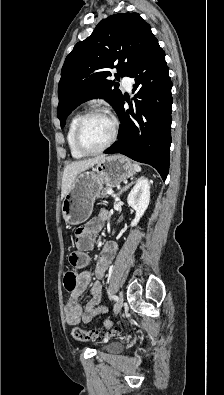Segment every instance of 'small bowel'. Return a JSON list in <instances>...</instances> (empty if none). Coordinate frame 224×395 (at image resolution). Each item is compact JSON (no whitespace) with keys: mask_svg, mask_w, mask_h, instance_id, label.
Instances as JSON below:
<instances>
[{"mask_svg":"<svg viewBox=\"0 0 224 395\" xmlns=\"http://www.w3.org/2000/svg\"><path fill=\"white\" fill-rule=\"evenodd\" d=\"M108 217V212L102 210L98 217L90 220L87 224L79 228L76 232L75 243L77 250L71 253L70 263L79 268H85L90 263L88 252L93 248L95 238L101 229L104 221ZM117 253V244L114 241H107L103 244L99 259L95 267L97 280L91 285V274L83 270L78 275L77 288L64 306L65 320L69 325L90 322L97 314L105 313L106 308L102 306V283L101 279L106 270L113 262ZM91 285L90 299L82 307L79 303L81 294Z\"/></svg>","mask_w":224,"mask_h":395,"instance_id":"obj_1","label":"small bowel"}]
</instances>
